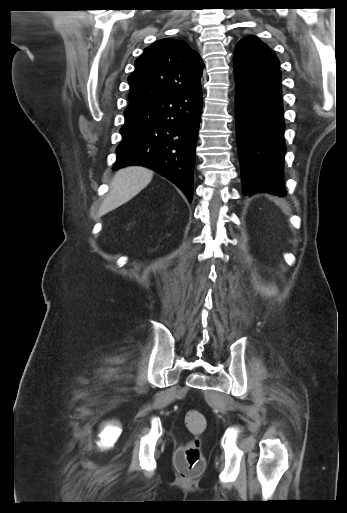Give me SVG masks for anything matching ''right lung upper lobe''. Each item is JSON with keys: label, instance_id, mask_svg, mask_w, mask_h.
I'll list each match as a JSON object with an SVG mask.
<instances>
[{"label": "right lung upper lobe", "instance_id": "obj_1", "mask_svg": "<svg viewBox=\"0 0 347 513\" xmlns=\"http://www.w3.org/2000/svg\"><path fill=\"white\" fill-rule=\"evenodd\" d=\"M203 61L184 41L165 38L145 49L128 78L129 106L201 89Z\"/></svg>", "mask_w": 347, "mask_h": 513}]
</instances>
